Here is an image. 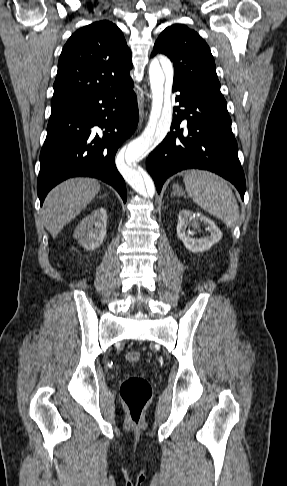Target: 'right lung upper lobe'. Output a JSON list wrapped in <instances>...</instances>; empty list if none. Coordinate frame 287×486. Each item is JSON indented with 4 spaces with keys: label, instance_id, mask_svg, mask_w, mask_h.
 <instances>
[{
    "label": "right lung upper lobe",
    "instance_id": "cb5924a9",
    "mask_svg": "<svg viewBox=\"0 0 287 486\" xmlns=\"http://www.w3.org/2000/svg\"><path fill=\"white\" fill-rule=\"evenodd\" d=\"M131 52L121 30L107 20L78 29L64 45L53 85L51 112L131 82Z\"/></svg>",
    "mask_w": 287,
    "mask_h": 486
}]
</instances>
